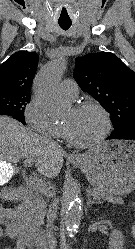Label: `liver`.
<instances>
[{
	"label": "liver",
	"instance_id": "obj_1",
	"mask_svg": "<svg viewBox=\"0 0 135 249\" xmlns=\"http://www.w3.org/2000/svg\"><path fill=\"white\" fill-rule=\"evenodd\" d=\"M66 152L58 144L39 136L18 121L0 116V162L16 163L20 158L32 159L37 171L47 178H55ZM7 177L1 176L0 185Z\"/></svg>",
	"mask_w": 135,
	"mask_h": 249
}]
</instances>
